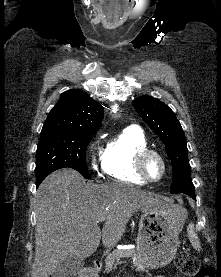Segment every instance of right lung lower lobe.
I'll return each instance as SVG.
<instances>
[{"instance_id":"98d812e1","label":"right lung lower lobe","mask_w":221,"mask_h":277,"mask_svg":"<svg viewBox=\"0 0 221 277\" xmlns=\"http://www.w3.org/2000/svg\"><path fill=\"white\" fill-rule=\"evenodd\" d=\"M42 181H37V186H39V184L41 183Z\"/></svg>"}]
</instances>
